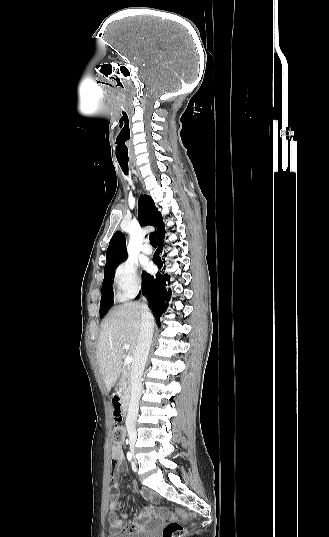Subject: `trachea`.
Masks as SVG:
<instances>
[{
    "label": "trachea",
    "instance_id": "3493384b",
    "mask_svg": "<svg viewBox=\"0 0 329 537\" xmlns=\"http://www.w3.org/2000/svg\"><path fill=\"white\" fill-rule=\"evenodd\" d=\"M120 167L122 169V171L125 173V174H128V164H123V163H120ZM149 240H150V243L153 247H156V237L155 235H150L149 236Z\"/></svg>",
    "mask_w": 329,
    "mask_h": 537
}]
</instances>
